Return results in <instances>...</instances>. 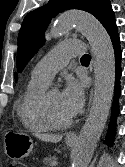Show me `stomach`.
Wrapping results in <instances>:
<instances>
[{"instance_id": "stomach-1", "label": "stomach", "mask_w": 125, "mask_h": 167, "mask_svg": "<svg viewBox=\"0 0 125 167\" xmlns=\"http://www.w3.org/2000/svg\"><path fill=\"white\" fill-rule=\"evenodd\" d=\"M69 146L72 143H67ZM4 150L8 157L21 159L30 155L33 151V140L22 132H8L5 137Z\"/></svg>"}]
</instances>
